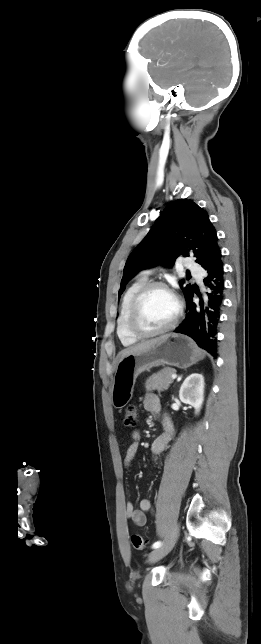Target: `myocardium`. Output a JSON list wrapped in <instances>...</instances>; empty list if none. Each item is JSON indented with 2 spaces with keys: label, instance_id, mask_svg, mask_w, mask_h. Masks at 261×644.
<instances>
[{
  "label": "myocardium",
  "instance_id": "myocardium-1",
  "mask_svg": "<svg viewBox=\"0 0 261 644\" xmlns=\"http://www.w3.org/2000/svg\"><path fill=\"white\" fill-rule=\"evenodd\" d=\"M160 288L163 289L167 292H169L176 300L177 304V309L176 313L174 315V318L172 321L164 326L163 328L153 330V331H145L143 330L139 324H138V316H139V310L141 303L145 296L153 289ZM182 310L183 306L175 292L164 282L162 281H149L146 282L135 294V296L132 299V302L130 304L129 312H128V317H127V328L128 331L132 336H134L137 339H147L151 337H155L164 333H167L174 329L182 315Z\"/></svg>",
  "mask_w": 261,
  "mask_h": 644
}]
</instances>
